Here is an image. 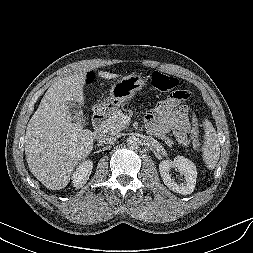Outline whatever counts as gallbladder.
Listing matches in <instances>:
<instances>
[{
	"mask_svg": "<svg viewBox=\"0 0 253 253\" xmlns=\"http://www.w3.org/2000/svg\"><path fill=\"white\" fill-rule=\"evenodd\" d=\"M67 106H68L69 112L71 113L72 120L74 122L81 123L83 126H86L87 125L86 117L83 114L80 105L75 102L70 101L67 103Z\"/></svg>",
	"mask_w": 253,
	"mask_h": 253,
	"instance_id": "gallbladder-1",
	"label": "gallbladder"
}]
</instances>
